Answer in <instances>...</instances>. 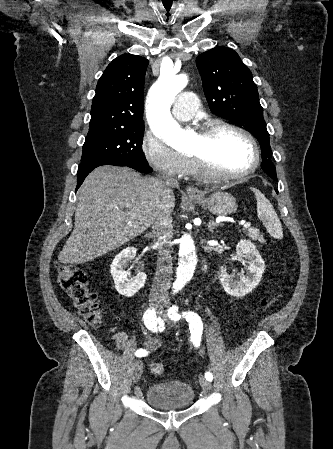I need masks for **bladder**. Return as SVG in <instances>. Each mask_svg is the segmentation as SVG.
<instances>
[{
    "mask_svg": "<svg viewBox=\"0 0 333 449\" xmlns=\"http://www.w3.org/2000/svg\"><path fill=\"white\" fill-rule=\"evenodd\" d=\"M195 392L191 385L182 381L157 382L146 391L147 403L158 409H178L193 404Z\"/></svg>",
    "mask_w": 333,
    "mask_h": 449,
    "instance_id": "31cf9c89",
    "label": "bladder"
}]
</instances>
